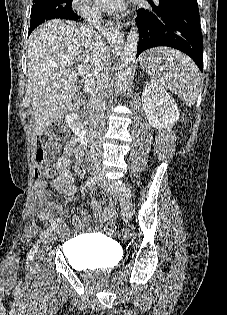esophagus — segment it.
<instances>
[{
    "label": "esophagus",
    "instance_id": "obj_1",
    "mask_svg": "<svg viewBox=\"0 0 227 315\" xmlns=\"http://www.w3.org/2000/svg\"><path fill=\"white\" fill-rule=\"evenodd\" d=\"M111 26H112V23L108 24V25H107V28L109 29V28H111ZM114 28H115L116 33H117V34L120 36V38H121V34H120V32H119V24H117Z\"/></svg>",
    "mask_w": 227,
    "mask_h": 315
}]
</instances>
